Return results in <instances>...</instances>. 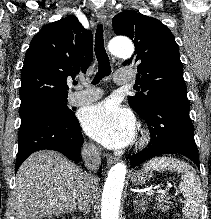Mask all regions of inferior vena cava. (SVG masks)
<instances>
[{"mask_svg": "<svg viewBox=\"0 0 211 219\" xmlns=\"http://www.w3.org/2000/svg\"><path fill=\"white\" fill-rule=\"evenodd\" d=\"M81 155L85 167L90 171V173L85 176L86 184L80 197L78 198L77 205L80 211L88 213L91 205L93 204V190L98 182L95 172L101 164V158L99 149L93 144H84L81 150Z\"/></svg>", "mask_w": 211, "mask_h": 219, "instance_id": "1", "label": "inferior vena cava"}]
</instances>
